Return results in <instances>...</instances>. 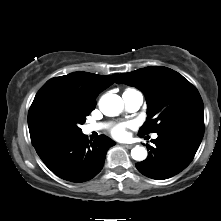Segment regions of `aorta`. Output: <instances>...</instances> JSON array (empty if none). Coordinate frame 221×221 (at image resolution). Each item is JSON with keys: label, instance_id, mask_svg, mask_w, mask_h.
<instances>
[{"label": "aorta", "instance_id": "762f6f07", "mask_svg": "<svg viewBox=\"0 0 221 221\" xmlns=\"http://www.w3.org/2000/svg\"><path fill=\"white\" fill-rule=\"evenodd\" d=\"M123 100L112 93L103 95L99 101V108L106 116H117L123 110ZM131 156L136 161H143L147 157V150L141 146H135L131 150Z\"/></svg>", "mask_w": 221, "mask_h": 221}]
</instances>
